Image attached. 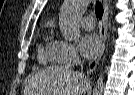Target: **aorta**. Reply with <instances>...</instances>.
<instances>
[{
  "instance_id": "762f6f07",
  "label": "aorta",
  "mask_w": 135,
  "mask_h": 95,
  "mask_svg": "<svg viewBox=\"0 0 135 95\" xmlns=\"http://www.w3.org/2000/svg\"><path fill=\"white\" fill-rule=\"evenodd\" d=\"M89 0H65L59 14L60 31L68 41H75L80 36L79 16ZM104 74H100L93 95H102L104 89Z\"/></svg>"
}]
</instances>
